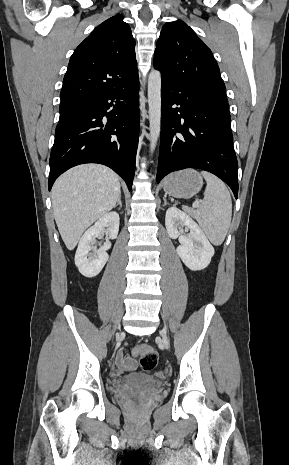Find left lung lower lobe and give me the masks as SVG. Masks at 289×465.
I'll return each instance as SVG.
<instances>
[{
	"label": "left lung lower lobe",
	"instance_id": "obj_1",
	"mask_svg": "<svg viewBox=\"0 0 289 465\" xmlns=\"http://www.w3.org/2000/svg\"><path fill=\"white\" fill-rule=\"evenodd\" d=\"M161 97L157 182L173 171L203 169L226 182L237 199L238 163L227 98L167 81H162Z\"/></svg>",
	"mask_w": 289,
	"mask_h": 465
}]
</instances>
